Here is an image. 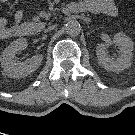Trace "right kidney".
Wrapping results in <instances>:
<instances>
[{
	"label": "right kidney",
	"mask_w": 135,
	"mask_h": 135,
	"mask_svg": "<svg viewBox=\"0 0 135 135\" xmlns=\"http://www.w3.org/2000/svg\"><path fill=\"white\" fill-rule=\"evenodd\" d=\"M28 46L25 38L13 41L3 52L1 65L7 76L11 78H22L33 73L43 60L41 54H37L25 62H15L17 52L26 49Z\"/></svg>",
	"instance_id": "right-kidney-1"
}]
</instances>
